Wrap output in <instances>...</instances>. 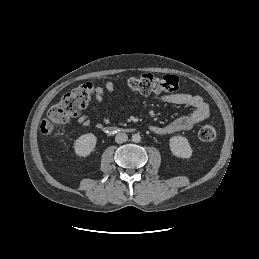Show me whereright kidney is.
<instances>
[{"instance_id":"1","label":"right kidney","mask_w":259,"mask_h":259,"mask_svg":"<svg viewBox=\"0 0 259 259\" xmlns=\"http://www.w3.org/2000/svg\"><path fill=\"white\" fill-rule=\"evenodd\" d=\"M97 143V137L92 133L81 135L74 142L75 153L80 157H87L94 151Z\"/></svg>"}]
</instances>
